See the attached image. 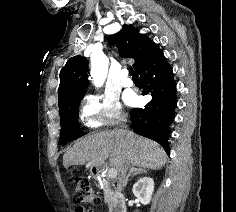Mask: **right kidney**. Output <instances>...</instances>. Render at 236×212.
Listing matches in <instances>:
<instances>
[{"label": "right kidney", "instance_id": "obj_1", "mask_svg": "<svg viewBox=\"0 0 236 212\" xmlns=\"http://www.w3.org/2000/svg\"><path fill=\"white\" fill-rule=\"evenodd\" d=\"M133 194L144 205L151 201L154 191V181L150 177H143L133 185Z\"/></svg>", "mask_w": 236, "mask_h": 212}]
</instances>
